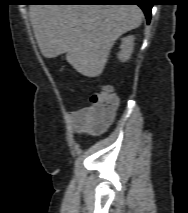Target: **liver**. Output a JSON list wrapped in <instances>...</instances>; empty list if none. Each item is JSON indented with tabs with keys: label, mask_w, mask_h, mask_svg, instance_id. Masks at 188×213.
<instances>
[{
	"label": "liver",
	"mask_w": 188,
	"mask_h": 213,
	"mask_svg": "<svg viewBox=\"0 0 188 213\" xmlns=\"http://www.w3.org/2000/svg\"><path fill=\"white\" fill-rule=\"evenodd\" d=\"M30 21L42 55L66 54L80 74H102L115 41L141 25L137 5L34 4Z\"/></svg>",
	"instance_id": "obj_1"
}]
</instances>
